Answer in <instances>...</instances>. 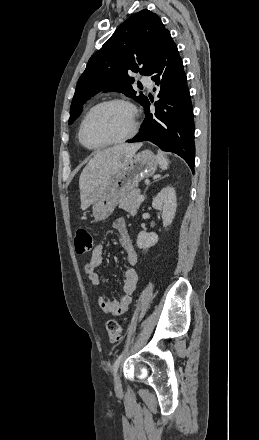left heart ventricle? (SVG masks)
<instances>
[{
  "label": "left heart ventricle",
  "instance_id": "1",
  "mask_svg": "<svg viewBox=\"0 0 259 440\" xmlns=\"http://www.w3.org/2000/svg\"><path fill=\"white\" fill-rule=\"evenodd\" d=\"M131 128L129 109L121 104H111L96 110L84 128L88 145L96 146L125 136Z\"/></svg>",
  "mask_w": 259,
  "mask_h": 440
}]
</instances>
